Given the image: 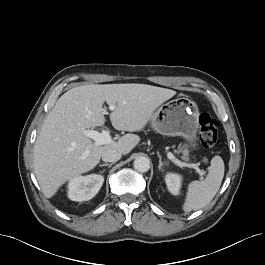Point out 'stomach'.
Instances as JSON below:
<instances>
[{
    "instance_id": "1",
    "label": "stomach",
    "mask_w": 265,
    "mask_h": 265,
    "mask_svg": "<svg viewBox=\"0 0 265 265\" xmlns=\"http://www.w3.org/2000/svg\"><path fill=\"white\" fill-rule=\"evenodd\" d=\"M151 126L160 134L183 137L192 148H197L199 109L185 97L163 104L152 116Z\"/></svg>"
}]
</instances>
